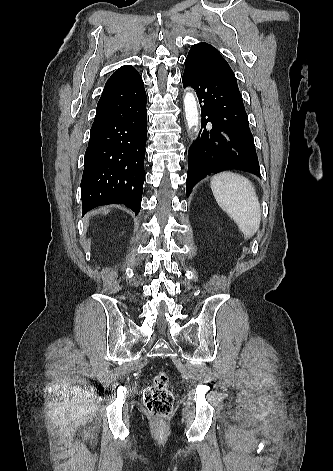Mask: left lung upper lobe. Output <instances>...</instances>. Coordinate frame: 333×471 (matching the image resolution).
<instances>
[{"mask_svg":"<svg viewBox=\"0 0 333 471\" xmlns=\"http://www.w3.org/2000/svg\"><path fill=\"white\" fill-rule=\"evenodd\" d=\"M188 54H199L208 58L217 66L219 70L225 73V75L231 81V83L238 89L234 72L228 65L227 61L221 56L220 52L216 48H214L213 46L207 43H200V44L191 46V50L189 51Z\"/></svg>","mask_w":333,"mask_h":471,"instance_id":"1","label":"left lung upper lobe"}]
</instances>
